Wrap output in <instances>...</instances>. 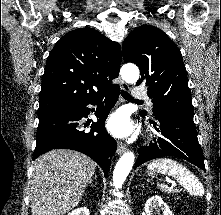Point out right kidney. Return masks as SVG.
I'll return each instance as SVG.
<instances>
[{"label":"right kidney","instance_id":"obj_1","mask_svg":"<svg viewBox=\"0 0 221 215\" xmlns=\"http://www.w3.org/2000/svg\"><path fill=\"white\" fill-rule=\"evenodd\" d=\"M68 215H89V210L86 207H81L73 210Z\"/></svg>","mask_w":221,"mask_h":215}]
</instances>
